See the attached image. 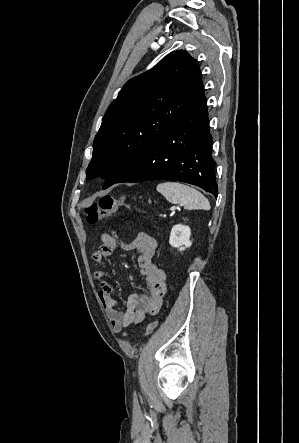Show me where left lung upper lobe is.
<instances>
[{
  "instance_id": "obj_1",
  "label": "left lung upper lobe",
  "mask_w": 299,
  "mask_h": 443,
  "mask_svg": "<svg viewBox=\"0 0 299 443\" xmlns=\"http://www.w3.org/2000/svg\"><path fill=\"white\" fill-rule=\"evenodd\" d=\"M203 95L199 65L182 50L129 80L103 117L87 178H107L103 189L113 185Z\"/></svg>"
}]
</instances>
